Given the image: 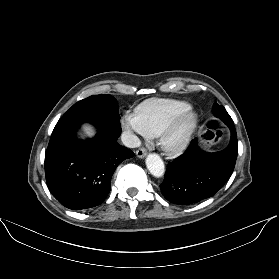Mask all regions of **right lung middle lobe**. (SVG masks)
I'll return each instance as SVG.
<instances>
[{
    "label": "right lung middle lobe",
    "mask_w": 279,
    "mask_h": 279,
    "mask_svg": "<svg viewBox=\"0 0 279 279\" xmlns=\"http://www.w3.org/2000/svg\"><path fill=\"white\" fill-rule=\"evenodd\" d=\"M105 114L119 117L116 99L109 95H93L74 104L56 124L53 132L93 121Z\"/></svg>",
    "instance_id": "obj_1"
}]
</instances>
